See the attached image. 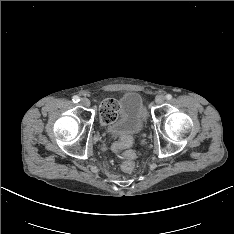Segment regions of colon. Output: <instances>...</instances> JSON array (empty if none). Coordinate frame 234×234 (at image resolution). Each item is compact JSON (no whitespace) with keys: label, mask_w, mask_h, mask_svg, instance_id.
Returning <instances> with one entry per match:
<instances>
[{"label":"colon","mask_w":234,"mask_h":234,"mask_svg":"<svg viewBox=\"0 0 234 234\" xmlns=\"http://www.w3.org/2000/svg\"><path fill=\"white\" fill-rule=\"evenodd\" d=\"M117 109L118 104L116 100L106 99L103 101L100 110L101 123L104 125L112 123L116 119ZM113 133L119 136V139L113 144V151L121 154L125 158H135L136 153L130 149L132 137L119 128H115ZM122 169L125 172H131L134 169V163L131 160H126L122 164Z\"/></svg>","instance_id":"5ec220e1"}]
</instances>
